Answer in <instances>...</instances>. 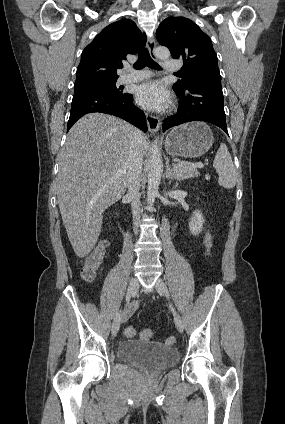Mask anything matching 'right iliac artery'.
<instances>
[{
    "label": "right iliac artery",
    "mask_w": 285,
    "mask_h": 424,
    "mask_svg": "<svg viewBox=\"0 0 285 424\" xmlns=\"http://www.w3.org/2000/svg\"><path fill=\"white\" fill-rule=\"evenodd\" d=\"M129 300H130V295H129V293H127V295H126V301L129 302Z\"/></svg>",
    "instance_id": "1"
}]
</instances>
